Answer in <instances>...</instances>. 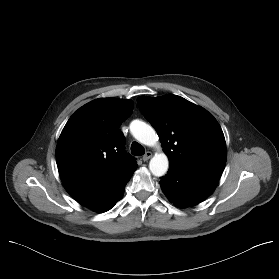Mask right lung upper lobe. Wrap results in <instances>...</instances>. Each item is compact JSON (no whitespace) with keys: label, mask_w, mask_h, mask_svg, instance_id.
<instances>
[{"label":"right lung upper lobe","mask_w":279,"mask_h":279,"mask_svg":"<svg viewBox=\"0 0 279 279\" xmlns=\"http://www.w3.org/2000/svg\"><path fill=\"white\" fill-rule=\"evenodd\" d=\"M133 107L131 100L100 98L79 108L66 123L56 162L65 189L76 201L111 188L135 171L137 164L125 153L119 130Z\"/></svg>","instance_id":"right-lung-upper-lobe-1"}]
</instances>
